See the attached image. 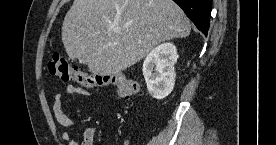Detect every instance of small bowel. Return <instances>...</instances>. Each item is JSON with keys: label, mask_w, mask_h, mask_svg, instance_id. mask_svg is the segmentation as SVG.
Here are the masks:
<instances>
[{"label": "small bowel", "mask_w": 276, "mask_h": 145, "mask_svg": "<svg viewBox=\"0 0 276 145\" xmlns=\"http://www.w3.org/2000/svg\"><path fill=\"white\" fill-rule=\"evenodd\" d=\"M65 93L68 95H79L84 97L93 96L94 94L89 90L74 85H67ZM52 111L56 122L63 128L70 129L76 126V123L71 120L63 110V96L60 93L54 95ZM97 134V129L94 127H88L84 130L83 141L81 145H94V139ZM62 139L67 145H78L71 137L68 131L63 132Z\"/></svg>", "instance_id": "small-bowel-1"}]
</instances>
